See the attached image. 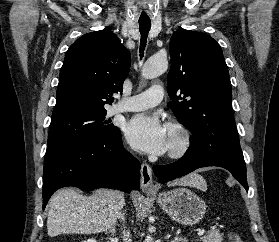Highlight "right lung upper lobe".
<instances>
[{
    "label": "right lung upper lobe",
    "instance_id": "1",
    "mask_svg": "<svg viewBox=\"0 0 279 242\" xmlns=\"http://www.w3.org/2000/svg\"><path fill=\"white\" fill-rule=\"evenodd\" d=\"M130 64V52L111 31L83 35L65 55L53 114L105 110L114 100L112 94L122 91Z\"/></svg>",
    "mask_w": 279,
    "mask_h": 242
}]
</instances>
